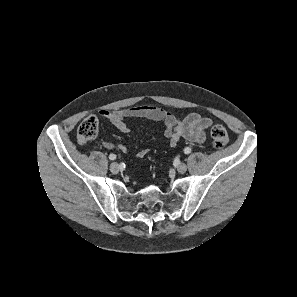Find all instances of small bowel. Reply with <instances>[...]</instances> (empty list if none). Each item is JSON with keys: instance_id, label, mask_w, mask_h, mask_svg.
Segmentation results:
<instances>
[{"instance_id": "1", "label": "small bowel", "mask_w": 297, "mask_h": 297, "mask_svg": "<svg viewBox=\"0 0 297 297\" xmlns=\"http://www.w3.org/2000/svg\"><path fill=\"white\" fill-rule=\"evenodd\" d=\"M99 116L111 122L122 133L130 131L126 122L129 118H146L161 122L164 126L165 140L170 146H175L182 139L194 143H203L206 138V130L211 125L209 119L197 113H190L180 119L154 105H137L114 111L101 110ZM102 146L106 149H112L114 144L103 141ZM119 148L126 150L124 145H119ZM148 152L149 149L144 148L137 151L136 156L143 158Z\"/></svg>"}]
</instances>
